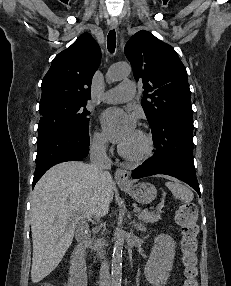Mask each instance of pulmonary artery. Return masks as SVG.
Masks as SVG:
<instances>
[{
  "label": "pulmonary artery",
  "mask_w": 231,
  "mask_h": 286,
  "mask_svg": "<svg viewBox=\"0 0 231 286\" xmlns=\"http://www.w3.org/2000/svg\"><path fill=\"white\" fill-rule=\"evenodd\" d=\"M135 94V82L124 80L118 86L107 90L101 96V100L105 103H122L131 100Z\"/></svg>",
  "instance_id": "obj_1"
}]
</instances>
